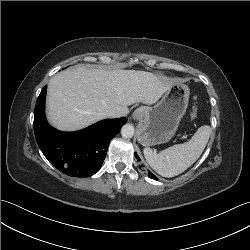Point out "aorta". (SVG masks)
I'll use <instances>...</instances> for the list:
<instances>
[{
	"label": "aorta",
	"mask_w": 250,
	"mask_h": 250,
	"mask_svg": "<svg viewBox=\"0 0 250 250\" xmlns=\"http://www.w3.org/2000/svg\"><path fill=\"white\" fill-rule=\"evenodd\" d=\"M121 135L124 138H131L134 135V126L132 124H125L121 129Z\"/></svg>",
	"instance_id": "obj_1"
}]
</instances>
